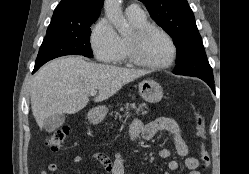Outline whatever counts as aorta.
I'll return each instance as SVG.
<instances>
[{"mask_svg":"<svg viewBox=\"0 0 249 174\" xmlns=\"http://www.w3.org/2000/svg\"><path fill=\"white\" fill-rule=\"evenodd\" d=\"M105 13L109 21L114 25L120 34H124L127 29V22L122 14L121 0H105Z\"/></svg>","mask_w":249,"mask_h":174,"instance_id":"obj_1","label":"aorta"}]
</instances>
